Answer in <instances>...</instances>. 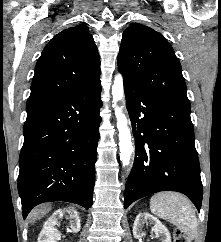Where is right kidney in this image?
I'll return each mask as SVG.
<instances>
[{
	"instance_id": "right-kidney-1",
	"label": "right kidney",
	"mask_w": 221,
	"mask_h": 242,
	"mask_svg": "<svg viewBox=\"0 0 221 242\" xmlns=\"http://www.w3.org/2000/svg\"><path fill=\"white\" fill-rule=\"evenodd\" d=\"M64 216L70 221L68 232L77 233L80 231L81 224L78 212L73 207H66L55 211L48 218L39 234L38 242H57L60 240L61 235L56 226L59 225Z\"/></svg>"
}]
</instances>
